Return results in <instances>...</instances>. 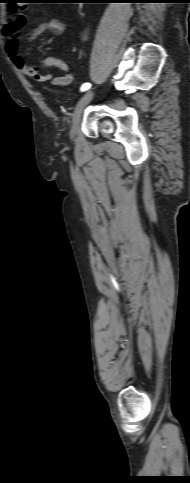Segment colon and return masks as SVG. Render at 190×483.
I'll return each instance as SVG.
<instances>
[{"instance_id": "colon-1", "label": "colon", "mask_w": 190, "mask_h": 483, "mask_svg": "<svg viewBox=\"0 0 190 483\" xmlns=\"http://www.w3.org/2000/svg\"><path fill=\"white\" fill-rule=\"evenodd\" d=\"M24 3H27L26 1L24 0H13V1H10V4H8L9 6V11L11 13H18L22 10L23 6L26 5Z\"/></svg>"}]
</instances>
